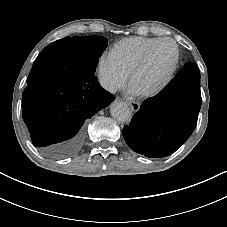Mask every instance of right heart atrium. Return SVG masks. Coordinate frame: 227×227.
<instances>
[{"mask_svg": "<svg viewBox=\"0 0 227 227\" xmlns=\"http://www.w3.org/2000/svg\"><path fill=\"white\" fill-rule=\"evenodd\" d=\"M96 76L101 88L112 94L120 90L128 78L126 72L106 55H102L97 62Z\"/></svg>", "mask_w": 227, "mask_h": 227, "instance_id": "1", "label": "right heart atrium"}]
</instances>
